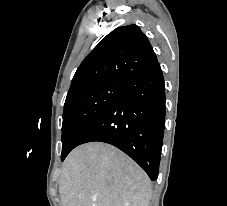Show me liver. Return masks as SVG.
Listing matches in <instances>:
<instances>
[{
  "label": "liver",
  "instance_id": "obj_1",
  "mask_svg": "<svg viewBox=\"0 0 227 206\" xmlns=\"http://www.w3.org/2000/svg\"><path fill=\"white\" fill-rule=\"evenodd\" d=\"M62 206H148L147 174L112 145L91 142L65 159L59 181Z\"/></svg>",
  "mask_w": 227,
  "mask_h": 206
}]
</instances>
